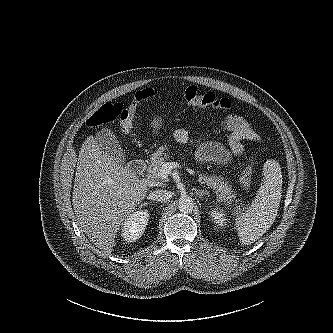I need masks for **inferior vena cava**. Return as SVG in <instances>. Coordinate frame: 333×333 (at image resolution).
Wrapping results in <instances>:
<instances>
[{"mask_svg": "<svg viewBox=\"0 0 333 333\" xmlns=\"http://www.w3.org/2000/svg\"><path fill=\"white\" fill-rule=\"evenodd\" d=\"M151 200L158 202H167L171 198V193L167 190L157 189L150 195Z\"/></svg>", "mask_w": 333, "mask_h": 333, "instance_id": "1", "label": "inferior vena cava"}]
</instances>
